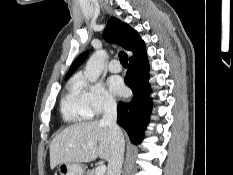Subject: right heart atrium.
Wrapping results in <instances>:
<instances>
[{"label": "right heart atrium", "instance_id": "1", "mask_svg": "<svg viewBox=\"0 0 233 175\" xmlns=\"http://www.w3.org/2000/svg\"><path fill=\"white\" fill-rule=\"evenodd\" d=\"M93 116L113 111L117 107L115 97L100 82L90 83L83 77L74 79Z\"/></svg>", "mask_w": 233, "mask_h": 175}]
</instances>
